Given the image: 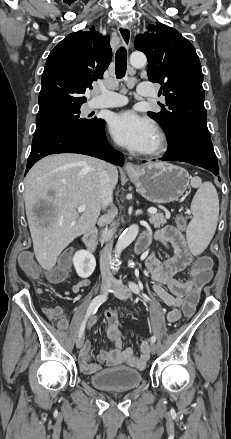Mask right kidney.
I'll use <instances>...</instances> for the list:
<instances>
[{
    "label": "right kidney",
    "mask_w": 231,
    "mask_h": 439,
    "mask_svg": "<svg viewBox=\"0 0 231 439\" xmlns=\"http://www.w3.org/2000/svg\"><path fill=\"white\" fill-rule=\"evenodd\" d=\"M75 270L81 278H88L96 267L95 257L87 250H79L73 257Z\"/></svg>",
    "instance_id": "ca27d5eb"
}]
</instances>
